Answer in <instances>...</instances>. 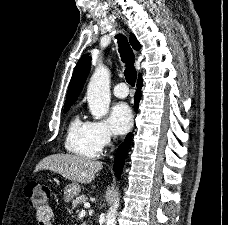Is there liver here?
Returning <instances> with one entry per match:
<instances>
[{"label":"liver","instance_id":"6515ba94","mask_svg":"<svg viewBox=\"0 0 228 225\" xmlns=\"http://www.w3.org/2000/svg\"><path fill=\"white\" fill-rule=\"evenodd\" d=\"M103 165L99 161L93 159H85V157H76V155H50L42 159L35 167L37 171H53L59 173L64 179L72 181V183H92L96 173L101 171Z\"/></svg>","mask_w":228,"mask_h":225}]
</instances>
